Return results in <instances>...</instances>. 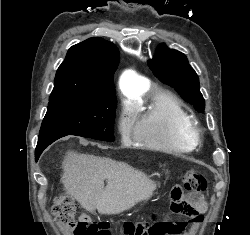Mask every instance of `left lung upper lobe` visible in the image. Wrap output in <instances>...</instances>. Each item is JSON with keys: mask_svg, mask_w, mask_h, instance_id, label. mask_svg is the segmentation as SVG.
Instances as JSON below:
<instances>
[{"mask_svg": "<svg viewBox=\"0 0 250 235\" xmlns=\"http://www.w3.org/2000/svg\"><path fill=\"white\" fill-rule=\"evenodd\" d=\"M148 65L163 83L173 87L186 102L194 105L198 111L204 110L205 101L199 90V78L183 53L161 44Z\"/></svg>", "mask_w": 250, "mask_h": 235, "instance_id": "obj_1", "label": "left lung upper lobe"}]
</instances>
